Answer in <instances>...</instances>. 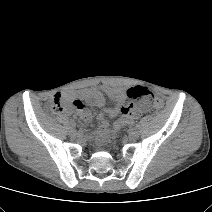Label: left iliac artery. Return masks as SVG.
<instances>
[{"label": "left iliac artery", "mask_w": 212, "mask_h": 212, "mask_svg": "<svg viewBox=\"0 0 212 212\" xmlns=\"http://www.w3.org/2000/svg\"><path fill=\"white\" fill-rule=\"evenodd\" d=\"M135 128L139 129L140 128V125L139 124H136L135 125Z\"/></svg>", "instance_id": "obj_1"}]
</instances>
